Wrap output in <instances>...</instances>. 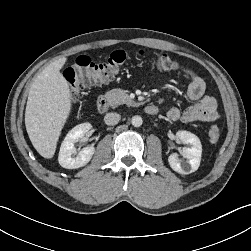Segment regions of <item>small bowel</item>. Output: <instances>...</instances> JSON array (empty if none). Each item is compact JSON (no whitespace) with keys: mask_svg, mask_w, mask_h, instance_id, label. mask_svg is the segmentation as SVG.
<instances>
[{"mask_svg":"<svg viewBox=\"0 0 251 251\" xmlns=\"http://www.w3.org/2000/svg\"><path fill=\"white\" fill-rule=\"evenodd\" d=\"M183 72L190 78L187 89V96L195 104L188 106L184 110L171 107L167 111V117L171 121H181L183 123H193L197 121L211 122L218 118L217 102L213 96L205 93L206 85L204 80L190 68H183Z\"/></svg>","mask_w":251,"mask_h":251,"instance_id":"c3829d8e","label":"small bowel"}]
</instances>
